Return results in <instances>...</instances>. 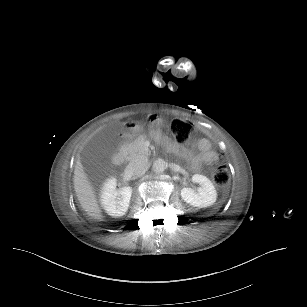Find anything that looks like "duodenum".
<instances>
[{
    "label": "duodenum",
    "instance_id": "410a0bca",
    "mask_svg": "<svg viewBox=\"0 0 307 307\" xmlns=\"http://www.w3.org/2000/svg\"><path fill=\"white\" fill-rule=\"evenodd\" d=\"M124 130L126 131V132H129L130 130H131V127L129 126V125H126L125 127H124ZM131 140V137L129 136V135H124L123 136V143L124 144H126V143H128L129 141ZM127 151V148L125 147V146H122L121 148H120V151H118V152H116L115 153V155H114V157H113V162L115 163V164H121L122 162H123V160H124V157H125V152Z\"/></svg>",
    "mask_w": 307,
    "mask_h": 307
}]
</instances>
